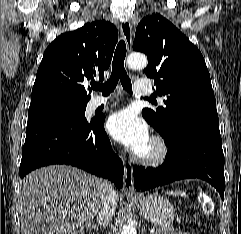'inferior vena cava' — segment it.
Here are the masks:
<instances>
[{"label":"inferior vena cava","instance_id":"1","mask_svg":"<svg viewBox=\"0 0 241 234\" xmlns=\"http://www.w3.org/2000/svg\"><path fill=\"white\" fill-rule=\"evenodd\" d=\"M101 203L96 214L97 221L101 226H106L112 220L116 210L117 195L113 185L109 181H101Z\"/></svg>","mask_w":241,"mask_h":234}]
</instances>
